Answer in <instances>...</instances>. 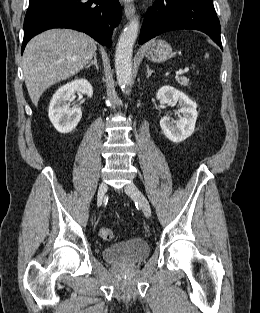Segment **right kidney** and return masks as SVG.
<instances>
[{"label":"right kidney","instance_id":"1","mask_svg":"<svg viewBox=\"0 0 260 313\" xmlns=\"http://www.w3.org/2000/svg\"><path fill=\"white\" fill-rule=\"evenodd\" d=\"M75 92L91 98L93 88L86 79H77L60 87L51 99L48 116L55 129L60 133L71 132L82 117L80 107L70 108L67 105V101L74 96Z\"/></svg>","mask_w":260,"mask_h":313}]
</instances>
